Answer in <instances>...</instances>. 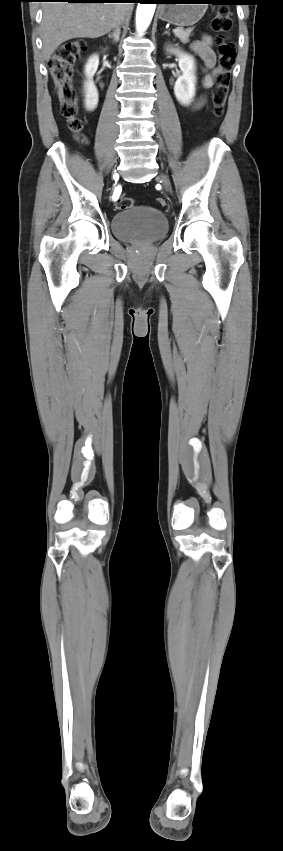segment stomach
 I'll use <instances>...</instances> for the list:
<instances>
[{"mask_svg":"<svg viewBox=\"0 0 283 851\" xmlns=\"http://www.w3.org/2000/svg\"><path fill=\"white\" fill-rule=\"evenodd\" d=\"M208 0H167L159 6V18L177 26L197 23L207 10Z\"/></svg>","mask_w":283,"mask_h":851,"instance_id":"obj_1","label":"stomach"}]
</instances>
